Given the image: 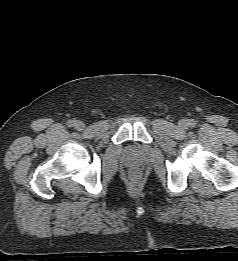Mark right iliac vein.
I'll return each instance as SVG.
<instances>
[{
	"label": "right iliac vein",
	"mask_w": 238,
	"mask_h": 261,
	"mask_svg": "<svg viewBox=\"0 0 238 261\" xmlns=\"http://www.w3.org/2000/svg\"><path fill=\"white\" fill-rule=\"evenodd\" d=\"M84 127H85V125H84V123L82 122V121H75L74 122V128L76 129V130H79V131H81V130H83L84 129Z\"/></svg>",
	"instance_id": "right-iliac-vein-1"
}]
</instances>
